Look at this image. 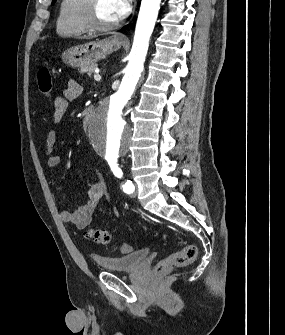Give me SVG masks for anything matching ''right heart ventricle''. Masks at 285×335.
Masks as SVG:
<instances>
[{"label":"right heart ventricle","instance_id":"e07e8e85","mask_svg":"<svg viewBox=\"0 0 285 335\" xmlns=\"http://www.w3.org/2000/svg\"><path fill=\"white\" fill-rule=\"evenodd\" d=\"M86 1H61L56 24L57 34L64 39H78L87 33Z\"/></svg>","mask_w":285,"mask_h":335}]
</instances>
